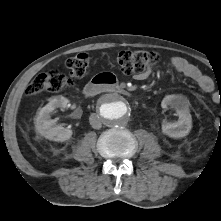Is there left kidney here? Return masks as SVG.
<instances>
[{"mask_svg":"<svg viewBox=\"0 0 221 221\" xmlns=\"http://www.w3.org/2000/svg\"><path fill=\"white\" fill-rule=\"evenodd\" d=\"M189 106V100L181 94L166 95L163 98L161 107L174 109L179 117L176 122L163 120V134L175 139L183 138L189 134L192 128V116Z\"/></svg>","mask_w":221,"mask_h":221,"instance_id":"5707ae66","label":"left kidney"}]
</instances>
